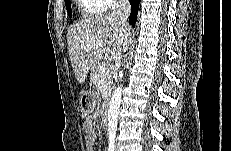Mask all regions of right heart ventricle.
<instances>
[{
    "mask_svg": "<svg viewBox=\"0 0 231 151\" xmlns=\"http://www.w3.org/2000/svg\"><path fill=\"white\" fill-rule=\"evenodd\" d=\"M81 10L84 14L92 15L103 11L100 2L95 0L81 1Z\"/></svg>",
    "mask_w": 231,
    "mask_h": 151,
    "instance_id": "e07e8e85",
    "label": "right heart ventricle"
}]
</instances>
